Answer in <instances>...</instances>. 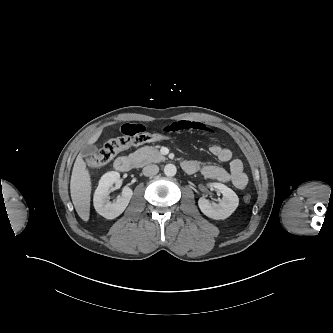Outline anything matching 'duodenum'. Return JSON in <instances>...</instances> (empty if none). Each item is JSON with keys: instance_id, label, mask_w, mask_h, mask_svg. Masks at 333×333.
<instances>
[{"instance_id": "410a0bca", "label": "duodenum", "mask_w": 333, "mask_h": 333, "mask_svg": "<svg viewBox=\"0 0 333 333\" xmlns=\"http://www.w3.org/2000/svg\"><path fill=\"white\" fill-rule=\"evenodd\" d=\"M135 165V160L129 157H118L114 162V168L119 172H128Z\"/></svg>"}]
</instances>
